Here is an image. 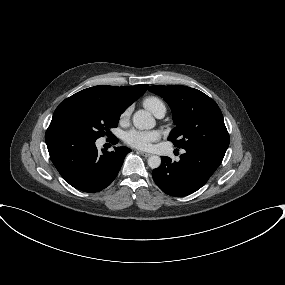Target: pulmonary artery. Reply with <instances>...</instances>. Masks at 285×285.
<instances>
[{"instance_id":"1","label":"pulmonary artery","mask_w":285,"mask_h":285,"mask_svg":"<svg viewBox=\"0 0 285 285\" xmlns=\"http://www.w3.org/2000/svg\"><path fill=\"white\" fill-rule=\"evenodd\" d=\"M165 112H166V110L161 109V110H158L157 112H155L154 115H155L157 118H162V117H164Z\"/></svg>"}]
</instances>
